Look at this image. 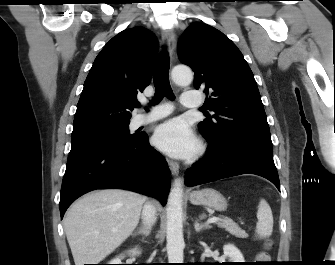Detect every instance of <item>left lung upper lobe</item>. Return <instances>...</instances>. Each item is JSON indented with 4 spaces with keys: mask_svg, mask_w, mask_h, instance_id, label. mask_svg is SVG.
Segmentation results:
<instances>
[{
    "mask_svg": "<svg viewBox=\"0 0 335 265\" xmlns=\"http://www.w3.org/2000/svg\"><path fill=\"white\" fill-rule=\"evenodd\" d=\"M178 55L194 71L196 89L210 95L214 111L198 124L210 140L245 137L272 144L267 117L254 75L236 45L214 27L192 23L181 35Z\"/></svg>",
    "mask_w": 335,
    "mask_h": 265,
    "instance_id": "left-lung-upper-lobe-1",
    "label": "left lung upper lobe"
}]
</instances>
